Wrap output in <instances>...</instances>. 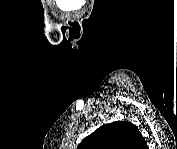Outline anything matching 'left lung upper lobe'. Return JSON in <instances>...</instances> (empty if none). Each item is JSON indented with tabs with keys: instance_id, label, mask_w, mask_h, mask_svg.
<instances>
[{
	"instance_id": "left-lung-upper-lobe-1",
	"label": "left lung upper lobe",
	"mask_w": 177,
	"mask_h": 149,
	"mask_svg": "<svg viewBox=\"0 0 177 149\" xmlns=\"http://www.w3.org/2000/svg\"><path fill=\"white\" fill-rule=\"evenodd\" d=\"M147 144L136 125L116 121L104 124L85 137L78 149H146Z\"/></svg>"
}]
</instances>
